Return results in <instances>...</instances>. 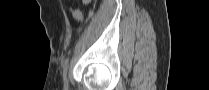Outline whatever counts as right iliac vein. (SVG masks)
Instances as JSON below:
<instances>
[{"label":"right iliac vein","instance_id":"right-iliac-vein-1","mask_svg":"<svg viewBox=\"0 0 209 90\" xmlns=\"http://www.w3.org/2000/svg\"><path fill=\"white\" fill-rule=\"evenodd\" d=\"M64 89L65 90L68 89V79H67V76L64 78Z\"/></svg>","mask_w":209,"mask_h":90}]
</instances>
